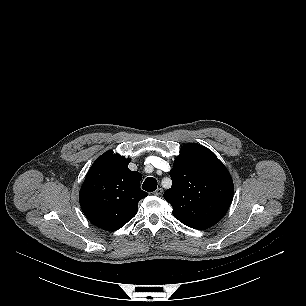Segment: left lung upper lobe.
<instances>
[{
    "label": "left lung upper lobe",
    "instance_id": "5c2ea615",
    "mask_svg": "<svg viewBox=\"0 0 306 306\" xmlns=\"http://www.w3.org/2000/svg\"><path fill=\"white\" fill-rule=\"evenodd\" d=\"M172 187L164 198L173 216L194 229L218 223L233 198L232 178L216 155L196 143L185 145L170 171Z\"/></svg>",
    "mask_w": 306,
    "mask_h": 306
}]
</instances>
